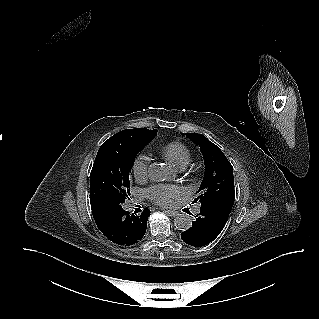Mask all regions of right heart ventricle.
<instances>
[{
  "label": "right heart ventricle",
  "mask_w": 319,
  "mask_h": 319,
  "mask_svg": "<svg viewBox=\"0 0 319 319\" xmlns=\"http://www.w3.org/2000/svg\"><path fill=\"white\" fill-rule=\"evenodd\" d=\"M165 158L177 169H184L191 161V151L178 141L170 142L162 148Z\"/></svg>",
  "instance_id": "right-heart-ventricle-1"
}]
</instances>
